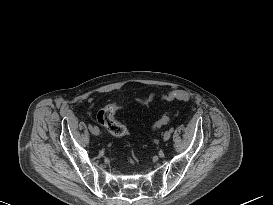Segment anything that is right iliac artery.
<instances>
[{
    "mask_svg": "<svg viewBox=\"0 0 273 205\" xmlns=\"http://www.w3.org/2000/svg\"><path fill=\"white\" fill-rule=\"evenodd\" d=\"M88 128H89V130L92 129V125L90 123L88 124Z\"/></svg>",
    "mask_w": 273,
    "mask_h": 205,
    "instance_id": "82829eb1",
    "label": "right iliac artery"
}]
</instances>
